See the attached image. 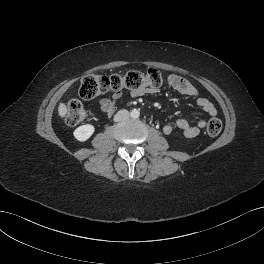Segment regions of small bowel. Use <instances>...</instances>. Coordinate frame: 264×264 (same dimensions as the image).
I'll return each mask as SVG.
<instances>
[{
  "label": "small bowel",
  "instance_id": "1",
  "mask_svg": "<svg viewBox=\"0 0 264 264\" xmlns=\"http://www.w3.org/2000/svg\"><path fill=\"white\" fill-rule=\"evenodd\" d=\"M168 83L176 91L182 95L190 96L195 98L197 105L209 116H215L217 110L213 103L209 101L206 97L202 96L198 89L193 86L188 80L177 76L170 75L168 77ZM148 89H141L133 91L131 95L133 97H138L149 93ZM122 97V92H114L111 98H102L99 101L100 109L106 116H111L116 111L119 101ZM177 127L182 131L185 138L192 139L199 135L200 130L205 127L206 121L204 119H199L196 125H191L189 121L185 118H181L176 123ZM163 132L165 134H170L173 131V125L166 123L163 126Z\"/></svg>",
  "mask_w": 264,
  "mask_h": 264
}]
</instances>
